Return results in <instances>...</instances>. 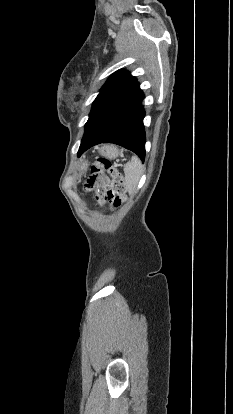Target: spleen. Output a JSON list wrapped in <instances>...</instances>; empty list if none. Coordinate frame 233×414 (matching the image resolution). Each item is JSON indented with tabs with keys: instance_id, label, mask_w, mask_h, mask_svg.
<instances>
[{
	"instance_id": "3e777b00",
	"label": "spleen",
	"mask_w": 233,
	"mask_h": 414,
	"mask_svg": "<svg viewBox=\"0 0 233 414\" xmlns=\"http://www.w3.org/2000/svg\"><path fill=\"white\" fill-rule=\"evenodd\" d=\"M124 173L128 192L133 194L143 173L142 163L137 156H133L125 165Z\"/></svg>"
}]
</instances>
